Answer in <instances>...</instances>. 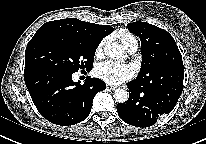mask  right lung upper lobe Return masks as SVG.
Returning a JSON list of instances; mask_svg holds the SVG:
<instances>
[{"mask_svg":"<svg viewBox=\"0 0 206 144\" xmlns=\"http://www.w3.org/2000/svg\"><path fill=\"white\" fill-rule=\"evenodd\" d=\"M41 28L58 29L100 43L104 37L113 32L109 25L88 23L76 18L55 20L45 23Z\"/></svg>","mask_w":206,"mask_h":144,"instance_id":"right-lung-upper-lobe-1","label":"right lung upper lobe"}]
</instances>
